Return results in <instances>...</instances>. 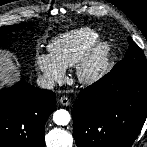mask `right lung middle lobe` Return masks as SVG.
Masks as SVG:
<instances>
[{
	"label": "right lung middle lobe",
	"instance_id": "dd1d6c3e",
	"mask_svg": "<svg viewBox=\"0 0 147 147\" xmlns=\"http://www.w3.org/2000/svg\"><path fill=\"white\" fill-rule=\"evenodd\" d=\"M27 26V24H19V25H10L6 27L0 28V47L5 43V37L8 33L19 30L23 27Z\"/></svg>",
	"mask_w": 147,
	"mask_h": 147
}]
</instances>
